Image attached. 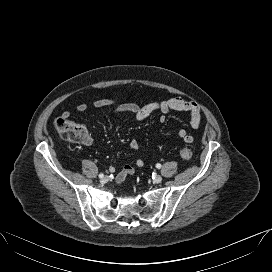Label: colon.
Wrapping results in <instances>:
<instances>
[{
  "instance_id": "5ec220e1",
  "label": "colon",
  "mask_w": 272,
  "mask_h": 272,
  "mask_svg": "<svg viewBox=\"0 0 272 272\" xmlns=\"http://www.w3.org/2000/svg\"><path fill=\"white\" fill-rule=\"evenodd\" d=\"M54 126L57 134L64 140L75 143H85L89 139L86 129L68 118H58ZM180 156L184 160H190L192 158L191 149L188 146H183L180 150Z\"/></svg>"
}]
</instances>
